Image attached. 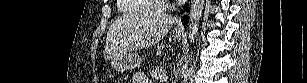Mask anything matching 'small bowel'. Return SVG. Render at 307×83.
I'll list each match as a JSON object with an SVG mask.
<instances>
[{
	"label": "small bowel",
	"mask_w": 307,
	"mask_h": 83,
	"mask_svg": "<svg viewBox=\"0 0 307 83\" xmlns=\"http://www.w3.org/2000/svg\"><path fill=\"white\" fill-rule=\"evenodd\" d=\"M133 83H150L149 79L143 73H135Z\"/></svg>",
	"instance_id": "obj_1"
}]
</instances>
